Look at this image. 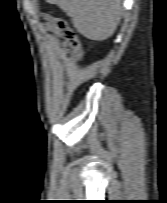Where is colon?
Segmentation results:
<instances>
[{"instance_id":"5ec220e1","label":"colon","mask_w":167,"mask_h":203,"mask_svg":"<svg viewBox=\"0 0 167 203\" xmlns=\"http://www.w3.org/2000/svg\"><path fill=\"white\" fill-rule=\"evenodd\" d=\"M45 17L49 22L54 25L61 37L68 43V45L73 51L74 59L77 63L80 64L83 59V50L78 36L73 30V28L63 18L56 17L50 14H47Z\"/></svg>"}]
</instances>
